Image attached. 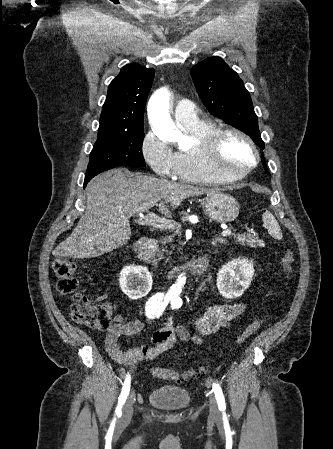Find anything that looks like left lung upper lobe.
<instances>
[{
  "label": "left lung upper lobe",
  "mask_w": 333,
  "mask_h": 449,
  "mask_svg": "<svg viewBox=\"0 0 333 449\" xmlns=\"http://www.w3.org/2000/svg\"><path fill=\"white\" fill-rule=\"evenodd\" d=\"M191 75L208 111L244 131L263 150L258 118L238 74L221 58L211 57L193 66Z\"/></svg>",
  "instance_id": "left-lung-upper-lobe-1"
}]
</instances>
